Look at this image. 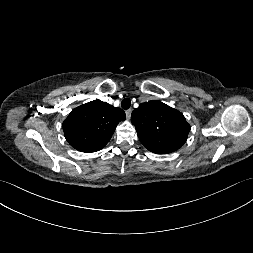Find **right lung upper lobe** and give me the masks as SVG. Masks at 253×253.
I'll return each mask as SVG.
<instances>
[{
  "label": "right lung upper lobe",
  "mask_w": 253,
  "mask_h": 253,
  "mask_svg": "<svg viewBox=\"0 0 253 253\" xmlns=\"http://www.w3.org/2000/svg\"><path fill=\"white\" fill-rule=\"evenodd\" d=\"M125 112L110 104L94 100L73 109L63 122L68 143L81 152L101 150L112 137Z\"/></svg>",
  "instance_id": "1"
}]
</instances>
